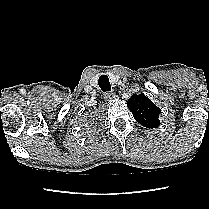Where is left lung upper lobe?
<instances>
[{"mask_svg": "<svg viewBox=\"0 0 209 209\" xmlns=\"http://www.w3.org/2000/svg\"><path fill=\"white\" fill-rule=\"evenodd\" d=\"M127 106L135 120L142 126L152 129L160 125V108L144 94H133L127 101Z\"/></svg>", "mask_w": 209, "mask_h": 209, "instance_id": "obj_1", "label": "left lung upper lobe"}]
</instances>
